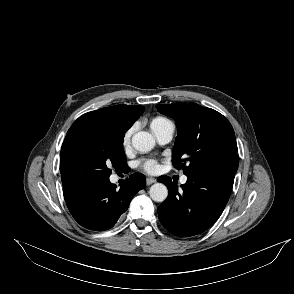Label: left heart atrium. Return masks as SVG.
Returning <instances> with one entry per match:
<instances>
[{
	"instance_id": "obj_1",
	"label": "left heart atrium",
	"mask_w": 294,
	"mask_h": 294,
	"mask_svg": "<svg viewBox=\"0 0 294 294\" xmlns=\"http://www.w3.org/2000/svg\"><path fill=\"white\" fill-rule=\"evenodd\" d=\"M140 167L147 173H155L158 170V164L155 160L149 159L140 163Z\"/></svg>"
}]
</instances>
